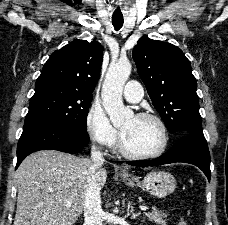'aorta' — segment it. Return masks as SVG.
<instances>
[{"instance_id": "762f6f07", "label": "aorta", "mask_w": 228, "mask_h": 225, "mask_svg": "<svg viewBox=\"0 0 228 225\" xmlns=\"http://www.w3.org/2000/svg\"><path fill=\"white\" fill-rule=\"evenodd\" d=\"M132 70L129 60L111 62L102 86L103 106L114 127H121L125 119L133 117V110L123 104L122 90Z\"/></svg>"}]
</instances>
